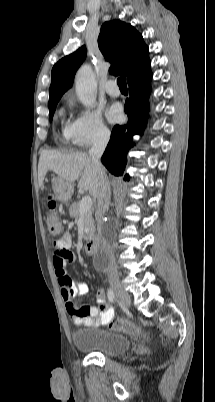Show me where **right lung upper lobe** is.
Masks as SVG:
<instances>
[{"label": "right lung upper lobe", "mask_w": 215, "mask_h": 402, "mask_svg": "<svg viewBox=\"0 0 215 402\" xmlns=\"http://www.w3.org/2000/svg\"><path fill=\"white\" fill-rule=\"evenodd\" d=\"M105 59L112 63L109 72L125 74L128 84L151 74L148 46L142 35L130 24L112 20L105 22L98 37ZM86 58V47L63 57L52 68L49 101L61 98L72 86L75 73Z\"/></svg>", "instance_id": "right-lung-upper-lobe-1"}]
</instances>
